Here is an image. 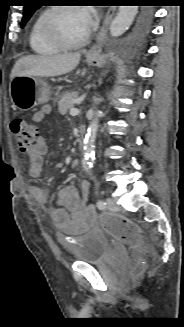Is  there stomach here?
<instances>
[{
	"instance_id": "obj_1",
	"label": "stomach",
	"mask_w": 184,
	"mask_h": 327,
	"mask_svg": "<svg viewBox=\"0 0 184 327\" xmlns=\"http://www.w3.org/2000/svg\"><path fill=\"white\" fill-rule=\"evenodd\" d=\"M99 60V55H86V61L90 65ZM10 96L14 107L27 111L47 103L51 98V91L49 85L39 77L18 75L11 80Z\"/></svg>"
}]
</instances>
